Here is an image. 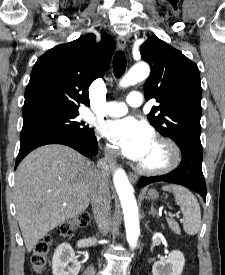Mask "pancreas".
Instances as JSON below:
<instances>
[{"label":"pancreas","mask_w":225,"mask_h":275,"mask_svg":"<svg viewBox=\"0 0 225 275\" xmlns=\"http://www.w3.org/2000/svg\"><path fill=\"white\" fill-rule=\"evenodd\" d=\"M167 223H168V226L171 228V230L177 234V235H180L181 234V230L179 228V224L175 221V220H172V219H168L167 220Z\"/></svg>","instance_id":"pancreas-1"}]
</instances>
